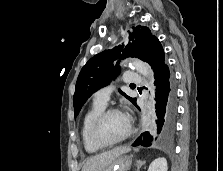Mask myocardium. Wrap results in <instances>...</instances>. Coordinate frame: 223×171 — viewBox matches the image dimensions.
Instances as JSON below:
<instances>
[{
    "label": "myocardium",
    "instance_id": "myocardium-1",
    "mask_svg": "<svg viewBox=\"0 0 223 171\" xmlns=\"http://www.w3.org/2000/svg\"><path fill=\"white\" fill-rule=\"evenodd\" d=\"M114 113L122 114L126 117L127 122H128V129H127V132L120 139H118L116 141H112V142H107L100 137L99 127H100L102 121L108 115L114 114ZM132 132H133V125H132V121H131L130 117L127 114H125L122 110L115 108V107L105 108L100 113H98L96 115V117L93 119V121L90 125V129H89V134H90L91 140L93 141L94 144H96L97 146H99L101 148L112 147V146L122 143L123 141H125L126 139H128L131 136Z\"/></svg>",
    "mask_w": 223,
    "mask_h": 171
}]
</instances>
